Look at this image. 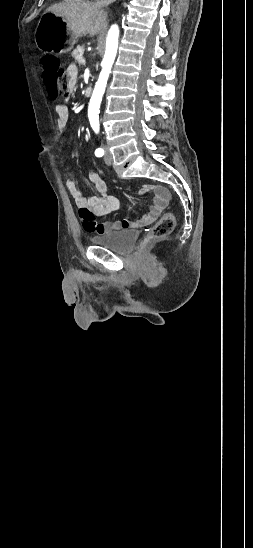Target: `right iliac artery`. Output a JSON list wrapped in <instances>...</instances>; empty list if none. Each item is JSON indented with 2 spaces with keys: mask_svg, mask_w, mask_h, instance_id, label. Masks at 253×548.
<instances>
[{
  "mask_svg": "<svg viewBox=\"0 0 253 548\" xmlns=\"http://www.w3.org/2000/svg\"><path fill=\"white\" fill-rule=\"evenodd\" d=\"M95 155H96L97 157H102V156L104 155V149L101 148V147L97 148V149L95 150Z\"/></svg>",
  "mask_w": 253,
  "mask_h": 548,
  "instance_id": "right-iliac-artery-1",
  "label": "right iliac artery"
}]
</instances>
